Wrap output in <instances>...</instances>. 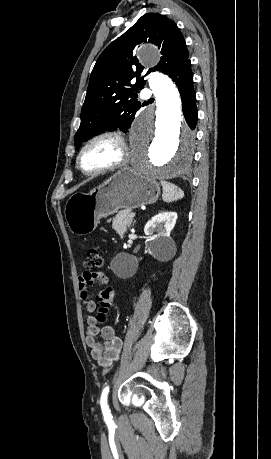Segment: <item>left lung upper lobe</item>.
I'll use <instances>...</instances> for the list:
<instances>
[{"instance_id":"5c2ea615","label":"left lung upper lobe","mask_w":271,"mask_h":459,"mask_svg":"<svg viewBox=\"0 0 271 459\" xmlns=\"http://www.w3.org/2000/svg\"><path fill=\"white\" fill-rule=\"evenodd\" d=\"M144 42L157 45L162 54L159 63L147 74L161 71L170 75L189 57L185 39L172 20L157 13L143 15L97 59L81 110V124L74 137L76 149L82 142L106 130L118 127L127 131L130 128L141 107L132 98L137 97L145 84L140 78L143 67L134 52L136 46ZM134 77L137 81L131 85Z\"/></svg>"}]
</instances>
